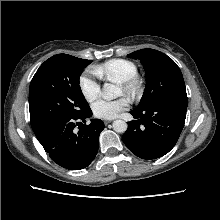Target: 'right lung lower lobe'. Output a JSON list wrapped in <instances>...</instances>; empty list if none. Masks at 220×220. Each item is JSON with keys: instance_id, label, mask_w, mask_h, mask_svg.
<instances>
[{"instance_id": "1", "label": "right lung lower lobe", "mask_w": 220, "mask_h": 220, "mask_svg": "<svg viewBox=\"0 0 220 220\" xmlns=\"http://www.w3.org/2000/svg\"><path fill=\"white\" fill-rule=\"evenodd\" d=\"M92 116L89 108L76 116L60 117L34 131L50 158L58 165L80 170L87 167L98 152L99 135L104 129L100 119H92L89 125H82ZM78 121V122H77ZM78 125L79 131L75 130Z\"/></svg>"}]
</instances>
